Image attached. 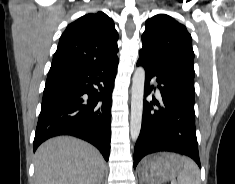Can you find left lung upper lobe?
<instances>
[{
  "mask_svg": "<svg viewBox=\"0 0 235 184\" xmlns=\"http://www.w3.org/2000/svg\"><path fill=\"white\" fill-rule=\"evenodd\" d=\"M145 27L140 55L156 68L169 73L195 95L194 52L186 27L165 14L148 19Z\"/></svg>",
  "mask_w": 235,
  "mask_h": 184,
  "instance_id": "obj_1",
  "label": "left lung upper lobe"
}]
</instances>
